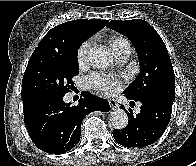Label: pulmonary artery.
Segmentation results:
<instances>
[{
  "instance_id": "e3ab8cb5",
  "label": "pulmonary artery",
  "mask_w": 196,
  "mask_h": 166,
  "mask_svg": "<svg viewBox=\"0 0 196 166\" xmlns=\"http://www.w3.org/2000/svg\"><path fill=\"white\" fill-rule=\"evenodd\" d=\"M114 54L118 63H124L130 56V47H121Z\"/></svg>"
}]
</instances>
